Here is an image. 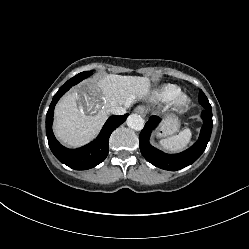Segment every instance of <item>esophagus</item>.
Listing matches in <instances>:
<instances>
[{"mask_svg":"<svg viewBox=\"0 0 249 249\" xmlns=\"http://www.w3.org/2000/svg\"><path fill=\"white\" fill-rule=\"evenodd\" d=\"M134 112H135V113H138V114H140V115H142V116H145L146 113H147L146 109H145L143 106H138V107H136V108L134 109Z\"/></svg>","mask_w":249,"mask_h":249,"instance_id":"34e87169","label":"esophagus"}]
</instances>
